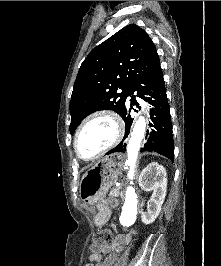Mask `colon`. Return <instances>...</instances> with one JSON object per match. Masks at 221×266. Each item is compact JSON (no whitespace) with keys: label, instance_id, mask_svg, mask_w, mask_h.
Here are the masks:
<instances>
[{"label":"colon","instance_id":"obj_1","mask_svg":"<svg viewBox=\"0 0 221 266\" xmlns=\"http://www.w3.org/2000/svg\"><path fill=\"white\" fill-rule=\"evenodd\" d=\"M113 204V202H111ZM112 234L109 230L103 229L96 233L92 239L91 249L94 254L102 252L111 242Z\"/></svg>","mask_w":221,"mask_h":266}]
</instances>
